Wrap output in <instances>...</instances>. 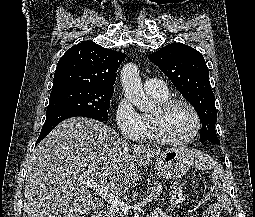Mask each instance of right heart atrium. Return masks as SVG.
Here are the masks:
<instances>
[{"instance_id":"d8ad5b80","label":"right heart atrium","mask_w":255,"mask_h":217,"mask_svg":"<svg viewBox=\"0 0 255 217\" xmlns=\"http://www.w3.org/2000/svg\"><path fill=\"white\" fill-rule=\"evenodd\" d=\"M115 123L118 131L131 140H137L143 135L141 115L134 109L130 101L121 97L115 106Z\"/></svg>"}]
</instances>
